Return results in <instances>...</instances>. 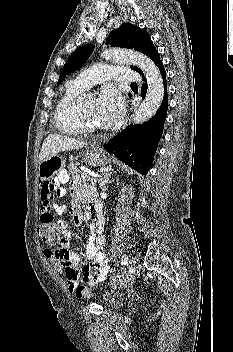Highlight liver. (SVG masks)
<instances>
[{"mask_svg":"<svg viewBox=\"0 0 233 352\" xmlns=\"http://www.w3.org/2000/svg\"><path fill=\"white\" fill-rule=\"evenodd\" d=\"M86 146L87 143L83 141L58 134H50L46 137L42 144L39 155V163L50 156L57 155L60 152L80 149Z\"/></svg>","mask_w":233,"mask_h":352,"instance_id":"6515ba94","label":"liver"}]
</instances>
